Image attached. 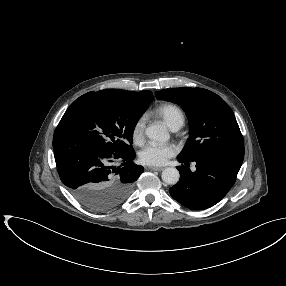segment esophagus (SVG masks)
I'll return each mask as SVG.
<instances>
[{
	"instance_id": "34e87169",
	"label": "esophagus",
	"mask_w": 286,
	"mask_h": 286,
	"mask_svg": "<svg viewBox=\"0 0 286 286\" xmlns=\"http://www.w3.org/2000/svg\"><path fill=\"white\" fill-rule=\"evenodd\" d=\"M148 169L149 170H152V171H162V170H164V168L163 167H148Z\"/></svg>"
}]
</instances>
